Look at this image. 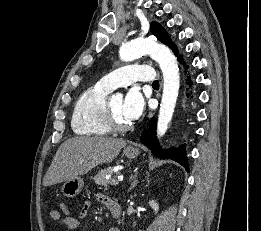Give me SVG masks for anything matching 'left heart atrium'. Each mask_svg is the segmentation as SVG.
<instances>
[{
	"instance_id": "left-heart-atrium-1",
	"label": "left heart atrium",
	"mask_w": 261,
	"mask_h": 231,
	"mask_svg": "<svg viewBox=\"0 0 261 231\" xmlns=\"http://www.w3.org/2000/svg\"><path fill=\"white\" fill-rule=\"evenodd\" d=\"M145 108V100L138 88H131L123 100V112L129 121L141 117Z\"/></svg>"
}]
</instances>
